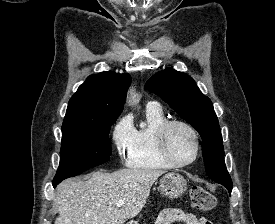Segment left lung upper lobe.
<instances>
[{"instance_id":"5c2ea615","label":"left lung upper lobe","mask_w":275,"mask_h":224,"mask_svg":"<svg viewBox=\"0 0 275 224\" xmlns=\"http://www.w3.org/2000/svg\"><path fill=\"white\" fill-rule=\"evenodd\" d=\"M145 89L160 96L201 135L206 173L215 182L232 183L224 162L222 135L211 100L194 80L174 69L153 75Z\"/></svg>"}]
</instances>
